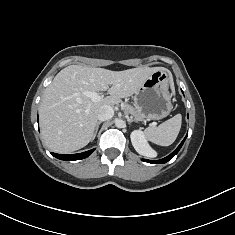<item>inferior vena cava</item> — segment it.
I'll return each mask as SVG.
<instances>
[{"label": "inferior vena cava", "mask_w": 235, "mask_h": 235, "mask_svg": "<svg viewBox=\"0 0 235 235\" xmlns=\"http://www.w3.org/2000/svg\"><path fill=\"white\" fill-rule=\"evenodd\" d=\"M114 110L111 106L105 105L101 107L98 111V120L100 121H106L113 117Z\"/></svg>", "instance_id": "inferior-vena-cava-1"}]
</instances>
